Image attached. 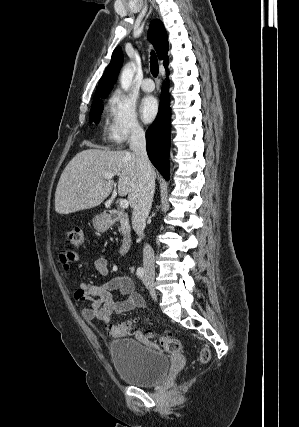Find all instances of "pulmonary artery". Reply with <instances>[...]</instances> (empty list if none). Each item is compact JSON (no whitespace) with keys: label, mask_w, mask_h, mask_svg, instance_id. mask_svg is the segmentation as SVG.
<instances>
[{"label":"pulmonary artery","mask_w":299,"mask_h":427,"mask_svg":"<svg viewBox=\"0 0 299 427\" xmlns=\"http://www.w3.org/2000/svg\"><path fill=\"white\" fill-rule=\"evenodd\" d=\"M141 88L145 92H152L154 90V83L149 77H146L141 83Z\"/></svg>","instance_id":"obj_1"}]
</instances>
